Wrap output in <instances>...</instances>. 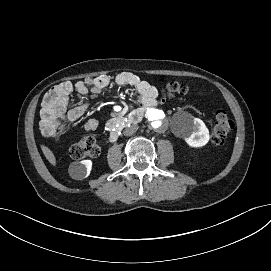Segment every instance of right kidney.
<instances>
[{"instance_id":"ca27d5eb","label":"right kidney","mask_w":271,"mask_h":271,"mask_svg":"<svg viewBox=\"0 0 271 271\" xmlns=\"http://www.w3.org/2000/svg\"><path fill=\"white\" fill-rule=\"evenodd\" d=\"M91 162L89 160L75 161L69 165V175L75 180H83L90 173Z\"/></svg>"}]
</instances>
